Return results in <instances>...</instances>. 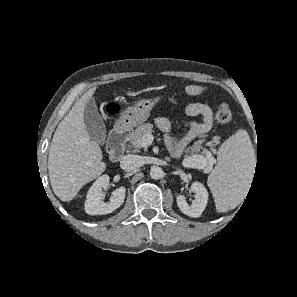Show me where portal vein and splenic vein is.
Segmentation results:
<instances>
[{
  "instance_id": "1",
  "label": "portal vein and splenic vein",
  "mask_w": 297,
  "mask_h": 297,
  "mask_svg": "<svg viewBox=\"0 0 297 297\" xmlns=\"http://www.w3.org/2000/svg\"><path fill=\"white\" fill-rule=\"evenodd\" d=\"M153 139H154V138H153V135L150 134V133H147V134H145V135L143 136V138H142V144H143L144 146H149V145L152 144ZM194 158L197 159V158H203V157H202V156H194Z\"/></svg>"
}]
</instances>
